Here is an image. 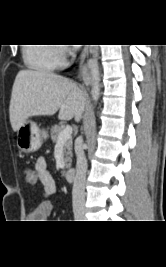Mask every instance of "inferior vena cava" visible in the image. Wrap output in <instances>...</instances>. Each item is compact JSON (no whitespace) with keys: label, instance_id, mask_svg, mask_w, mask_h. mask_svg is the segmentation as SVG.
Here are the masks:
<instances>
[{"label":"inferior vena cava","instance_id":"1","mask_svg":"<svg viewBox=\"0 0 166 267\" xmlns=\"http://www.w3.org/2000/svg\"><path fill=\"white\" fill-rule=\"evenodd\" d=\"M76 175L72 189V204L74 212L84 209L85 205V180L87 160L81 146L76 149Z\"/></svg>","mask_w":166,"mask_h":267}]
</instances>
